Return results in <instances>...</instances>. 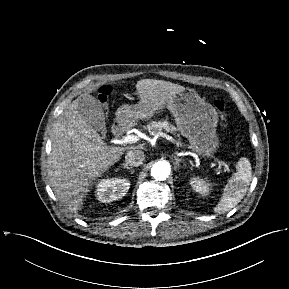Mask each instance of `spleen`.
I'll use <instances>...</instances> for the list:
<instances>
[{
    "label": "spleen",
    "instance_id": "obj_1",
    "mask_svg": "<svg viewBox=\"0 0 289 289\" xmlns=\"http://www.w3.org/2000/svg\"><path fill=\"white\" fill-rule=\"evenodd\" d=\"M237 172L228 180L223 194L214 208L216 213H224L234 208L245 196L252 179L251 164L246 158L237 162Z\"/></svg>",
    "mask_w": 289,
    "mask_h": 289
}]
</instances>
